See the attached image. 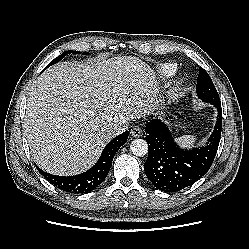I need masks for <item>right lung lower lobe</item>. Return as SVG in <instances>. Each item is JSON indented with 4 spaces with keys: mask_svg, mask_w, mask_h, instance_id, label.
<instances>
[{
    "mask_svg": "<svg viewBox=\"0 0 249 249\" xmlns=\"http://www.w3.org/2000/svg\"><path fill=\"white\" fill-rule=\"evenodd\" d=\"M129 132L126 131L111 140L104 148L97 163L88 171L75 176H56L44 172L39 167L38 171L57 188L70 193H88L96 189L106 178L112 160L118 149L126 143Z\"/></svg>",
    "mask_w": 249,
    "mask_h": 249,
    "instance_id": "1",
    "label": "right lung lower lobe"
}]
</instances>
